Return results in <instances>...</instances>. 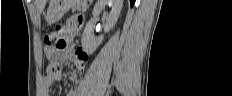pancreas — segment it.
<instances>
[{"instance_id":"cf45deb5","label":"pancreas","mask_w":232,"mask_h":96,"mask_svg":"<svg viewBox=\"0 0 232 96\" xmlns=\"http://www.w3.org/2000/svg\"><path fill=\"white\" fill-rule=\"evenodd\" d=\"M87 8L88 6L85 2H80L73 7V11L79 10V11L85 12Z\"/></svg>"}]
</instances>
